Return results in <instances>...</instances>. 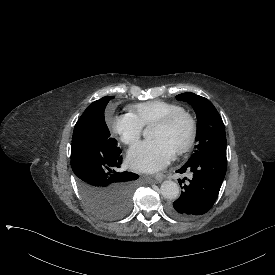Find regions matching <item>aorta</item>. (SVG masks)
<instances>
[{"label": "aorta", "mask_w": 275, "mask_h": 275, "mask_svg": "<svg viewBox=\"0 0 275 275\" xmlns=\"http://www.w3.org/2000/svg\"><path fill=\"white\" fill-rule=\"evenodd\" d=\"M149 130L145 132V136H148ZM161 195L169 200L176 199L180 193V189L178 184L172 180H165L162 182L160 186Z\"/></svg>", "instance_id": "762f6f07"}]
</instances>
